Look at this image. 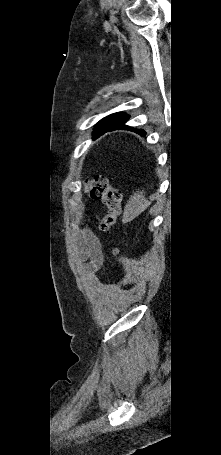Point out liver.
Masks as SVG:
<instances>
[{
  "label": "liver",
  "instance_id": "6515ba94",
  "mask_svg": "<svg viewBox=\"0 0 221 455\" xmlns=\"http://www.w3.org/2000/svg\"><path fill=\"white\" fill-rule=\"evenodd\" d=\"M148 205L149 201L146 200L144 191H137L130 197L124 208L122 222L127 223L132 221L139 214H141L148 207Z\"/></svg>",
  "mask_w": 221,
  "mask_h": 455
}]
</instances>
